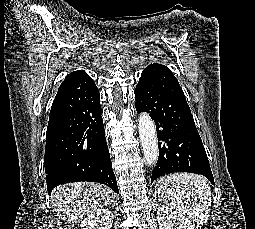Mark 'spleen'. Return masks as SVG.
<instances>
[{
  "label": "spleen",
  "instance_id": "1",
  "mask_svg": "<svg viewBox=\"0 0 255 229\" xmlns=\"http://www.w3.org/2000/svg\"><path fill=\"white\" fill-rule=\"evenodd\" d=\"M174 184V187L166 185ZM158 194L166 204L187 214L198 224L207 222L211 209V188L198 174L179 172L159 181Z\"/></svg>",
  "mask_w": 255,
  "mask_h": 229
}]
</instances>
